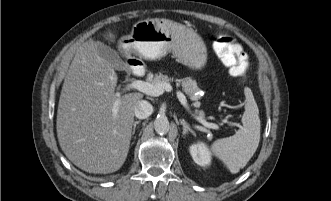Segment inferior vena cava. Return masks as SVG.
<instances>
[{"instance_id":"1","label":"inferior vena cava","mask_w":331,"mask_h":201,"mask_svg":"<svg viewBox=\"0 0 331 201\" xmlns=\"http://www.w3.org/2000/svg\"><path fill=\"white\" fill-rule=\"evenodd\" d=\"M153 113V106L145 100H140L134 109V114L138 119L148 118Z\"/></svg>"}]
</instances>
